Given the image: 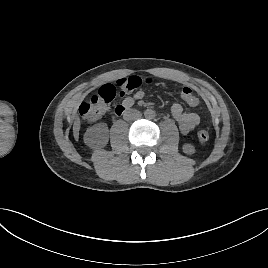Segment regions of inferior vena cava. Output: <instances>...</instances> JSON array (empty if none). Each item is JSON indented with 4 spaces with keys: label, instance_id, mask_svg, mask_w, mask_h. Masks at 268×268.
<instances>
[{
    "label": "inferior vena cava",
    "instance_id": "602c4592",
    "mask_svg": "<svg viewBox=\"0 0 268 268\" xmlns=\"http://www.w3.org/2000/svg\"><path fill=\"white\" fill-rule=\"evenodd\" d=\"M141 117V113L137 110H129L124 114V119L127 121L136 120Z\"/></svg>",
    "mask_w": 268,
    "mask_h": 268
}]
</instances>
